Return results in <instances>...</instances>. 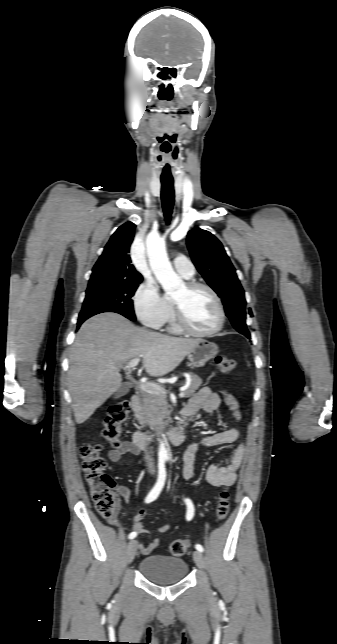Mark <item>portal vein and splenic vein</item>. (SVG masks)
I'll return each instance as SVG.
<instances>
[{"mask_svg": "<svg viewBox=\"0 0 337 644\" xmlns=\"http://www.w3.org/2000/svg\"><path fill=\"white\" fill-rule=\"evenodd\" d=\"M139 361H140V358H134V359L130 360L126 364L125 368L126 369L134 368V367H136L138 365ZM139 387H140L141 390H143V391H145L147 393H151V394H157V393L166 394L165 389L163 387H161L160 385H157V384L140 383ZM179 397L180 398L185 397L184 391L180 392Z\"/></svg>", "mask_w": 337, "mask_h": 644, "instance_id": "1", "label": "portal vein and splenic vein"}]
</instances>
